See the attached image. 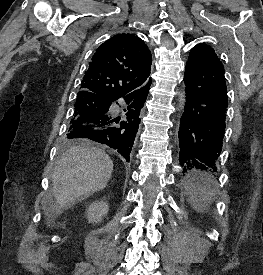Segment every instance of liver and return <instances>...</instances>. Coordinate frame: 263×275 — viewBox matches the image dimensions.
<instances>
[{"instance_id":"obj_1","label":"liver","mask_w":263,"mask_h":275,"mask_svg":"<svg viewBox=\"0 0 263 275\" xmlns=\"http://www.w3.org/2000/svg\"><path fill=\"white\" fill-rule=\"evenodd\" d=\"M113 162L101 149L75 146L57 161L52 174V199L44 214L52 221L77 200L106 187L111 179Z\"/></svg>"}]
</instances>
